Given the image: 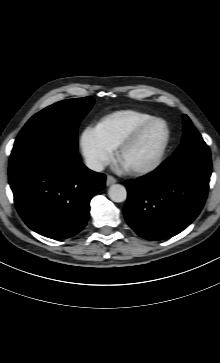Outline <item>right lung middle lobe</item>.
I'll return each instance as SVG.
<instances>
[{"mask_svg": "<svg viewBox=\"0 0 220 363\" xmlns=\"http://www.w3.org/2000/svg\"><path fill=\"white\" fill-rule=\"evenodd\" d=\"M93 103L92 97L68 99L38 112L20 131L11 156L47 141H61L77 151V128Z\"/></svg>", "mask_w": 220, "mask_h": 363, "instance_id": "1", "label": "right lung middle lobe"}]
</instances>
